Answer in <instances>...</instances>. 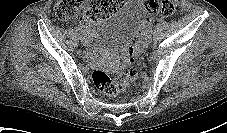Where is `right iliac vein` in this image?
Here are the masks:
<instances>
[{
	"mask_svg": "<svg viewBox=\"0 0 227 133\" xmlns=\"http://www.w3.org/2000/svg\"><path fill=\"white\" fill-rule=\"evenodd\" d=\"M80 40H81V43H82L83 46L88 45V40H87V37L85 35H81Z\"/></svg>",
	"mask_w": 227,
	"mask_h": 133,
	"instance_id": "right-iliac-vein-1",
	"label": "right iliac vein"
}]
</instances>
